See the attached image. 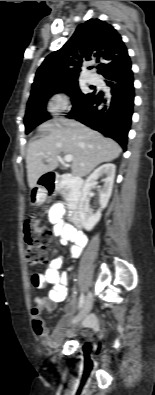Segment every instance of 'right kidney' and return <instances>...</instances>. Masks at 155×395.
Masks as SVG:
<instances>
[{
	"label": "right kidney",
	"mask_w": 155,
	"mask_h": 395,
	"mask_svg": "<svg viewBox=\"0 0 155 395\" xmlns=\"http://www.w3.org/2000/svg\"><path fill=\"white\" fill-rule=\"evenodd\" d=\"M115 170L116 167L114 164H104L97 168L86 180L84 188H83V195L80 200L79 210H80V218L82 221L83 227L90 231L93 227L99 222L101 218V211L104 209L108 201L111 197L114 178H115ZM105 175L104 186L99 191V203L101 208L96 212L92 213L91 209L89 208V199L88 194L89 191L94 188L97 184L96 180Z\"/></svg>",
	"instance_id": "obj_1"
}]
</instances>
